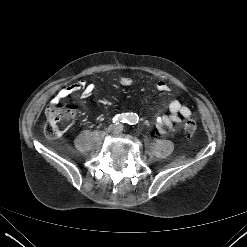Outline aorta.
<instances>
[{
    "mask_svg": "<svg viewBox=\"0 0 247 247\" xmlns=\"http://www.w3.org/2000/svg\"><path fill=\"white\" fill-rule=\"evenodd\" d=\"M129 120H130L131 122H136L137 116H136L135 114H132V115H130Z\"/></svg>",
    "mask_w": 247,
    "mask_h": 247,
    "instance_id": "762f6f07",
    "label": "aorta"
}]
</instances>
